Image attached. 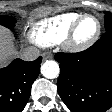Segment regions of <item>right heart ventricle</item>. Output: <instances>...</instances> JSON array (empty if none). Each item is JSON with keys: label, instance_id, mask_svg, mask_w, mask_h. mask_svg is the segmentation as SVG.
I'll list each match as a JSON object with an SVG mask.
<instances>
[{"label": "right heart ventricle", "instance_id": "1", "mask_svg": "<svg viewBox=\"0 0 112 112\" xmlns=\"http://www.w3.org/2000/svg\"><path fill=\"white\" fill-rule=\"evenodd\" d=\"M81 15L77 12H66L47 18L34 26L31 38L38 45L45 47L59 44Z\"/></svg>", "mask_w": 112, "mask_h": 112}]
</instances>
